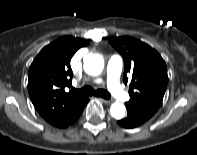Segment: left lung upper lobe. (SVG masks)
<instances>
[{"instance_id": "left-lung-upper-lobe-1", "label": "left lung upper lobe", "mask_w": 197, "mask_h": 155, "mask_svg": "<svg viewBox=\"0 0 197 155\" xmlns=\"http://www.w3.org/2000/svg\"><path fill=\"white\" fill-rule=\"evenodd\" d=\"M124 60L123 82H129L126 107L150 119L160 107L168 83L167 68L160 54L140 40L123 36L109 40Z\"/></svg>"}]
</instances>
